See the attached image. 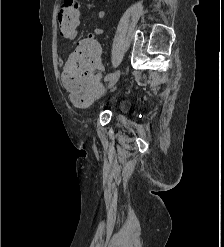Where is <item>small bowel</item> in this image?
<instances>
[{
  "instance_id": "small-bowel-1",
  "label": "small bowel",
  "mask_w": 224,
  "mask_h": 247,
  "mask_svg": "<svg viewBox=\"0 0 224 247\" xmlns=\"http://www.w3.org/2000/svg\"><path fill=\"white\" fill-rule=\"evenodd\" d=\"M97 16L99 19H104L106 17V12L103 11V10H100L98 13H97ZM103 28L102 27H97L95 28L90 34H88L87 38L83 40L84 41H94V42H97L96 41V36L100 35L103 33ZM77 35V30H74L70 36H68L69 38L73 39L75 38ZM58 64L59 65H63V60L62 59H58Z\"/></svg>"
}]
</instances>
